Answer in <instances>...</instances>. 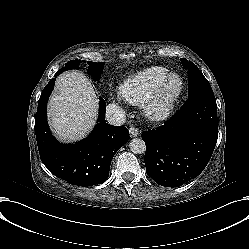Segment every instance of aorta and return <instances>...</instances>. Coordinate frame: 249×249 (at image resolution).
<instances>
[{
    "instance_id": "aorta-1",
    "label": "aorta",
    "mask_w": 249,
    "mask_h": 249,
    "mask_svg": "<svg viewBox=\"0 0 249 249\" xmlns=\"http://www.w3.org/2000/svg\"><path fill=\"white\" fill-rule=\"evenodd\" d=\"M129 148L134 154H144L146 151V144L140 138H134L129 143Z\"/></svg>"
}]
</instances>
